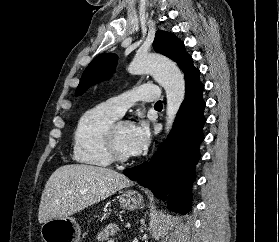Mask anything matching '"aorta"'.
Returning a JSON list of instances; mask_svg holds the SVG:
<instances>
[{"instance_id":"762f6f07","label":"aorta","mask_w":279,"mask_h":242,"mask_svg":"<svg viewBox=\"0 0 279 242\" xmlns=\"http://www.w3.org/2000/svg\"><path fill=\"white\" fill-rule=\"evenodd\" d=\"M128 71L131 74L149 73L165 89L167 98L165 130L168 134L185 96V81L180 69L166 57L137 54L130 63Z\"/></svg>"}]
</instances>
